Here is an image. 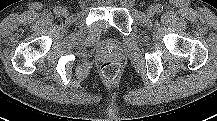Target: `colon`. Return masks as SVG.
Instances as JSON below:
<instances>
[{"label": "colon", "mask_w": 217, "mask_h": 121, "mask_svg": "<svg viewBox=\"0 0 217 121\" xmlns=\"http://www.w3.org/2000/svg\"><path fill=\"white\" fill-rule=\"evenodd\" d=\"M101 74L108 80L112 81L119 77L121 74V65L117 61H108L101 65Z\"/></svg>", "instance_id": "1"}]
</instances>
